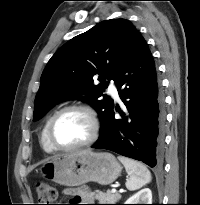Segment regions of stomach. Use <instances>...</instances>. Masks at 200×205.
I'll use <instances>...</instances> for the list:
<instances>
[{"label": "stomach", "instance_id": "stomach-1", "mask_svg": "<svg viewBox=\"0 0 200 205\" xmlns=\"http://www.w3.org/2000/svg\"><path fill=\"white\" fill-rule=\"evenodd\" d=\"M121 170V165L111 153L91 150L59 155L45 162L41 168L48 180L67 187L80 186L89 181L108 185L118 178Z\"/></svg>", "mask_w": 200, "mask_h": 205}]
</instances>
